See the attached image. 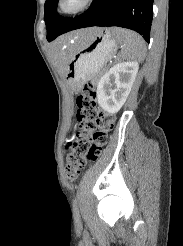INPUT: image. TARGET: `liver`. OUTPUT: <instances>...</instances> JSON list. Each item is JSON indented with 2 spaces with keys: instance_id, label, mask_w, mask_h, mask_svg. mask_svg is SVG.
<instances>
[{
  "instance_id": "obj_1",
  "label": "liver",
  "mask_w": 183,
  "mask_h": 246,
  "mask_svg": "<svg viewBox=\"0 0 183 246\" xmlns=\"http://www.w3.org/2000/svg\"><path fill=\"white\" fill-rule=\"evenodd\" d=\"M99 28H89L73 32L53 44V50L61 66L62 74H66L68 56L64 52V45L68 40L76 39L77 41L84 43L93 38V36L99 31Z\"/></svg>"
}]
</instances>
